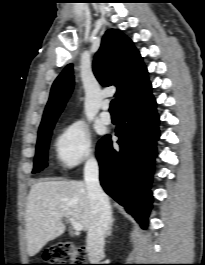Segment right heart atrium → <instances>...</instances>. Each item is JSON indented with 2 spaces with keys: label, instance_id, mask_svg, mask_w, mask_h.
Returning a JSON list of instances; mask_svg holds the SVG:
<instances>
[{
  "label": "right heart atrium",
  "instance_id": "1",
  "mask_svg": "<svg viewBox=\"0 0 205 265\" xmlns=\"http://www.w3.org/2000/svg\"><path fill=\"white\" fill-rule=\"evenodd\" d=\"M58 163L64 168H73L94 161L91 134L82 121H73L59 134L55 143Z\"/></svg>",
  "mask_w": 205,
  "mask_h": 265
}]
</instances>
